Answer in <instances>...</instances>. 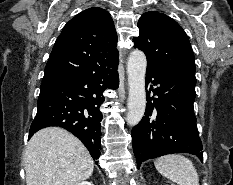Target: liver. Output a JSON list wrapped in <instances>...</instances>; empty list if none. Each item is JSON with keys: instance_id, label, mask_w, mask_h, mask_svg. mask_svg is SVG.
Segmentation results:
<instances>
[{"instance_id": "obj_1", "label": "liver", "mask_w": 233, "mask_h": 185, "mask_svg": "<svg viewBox=\"0 0 233 185\" xmlns=\"http://www.w3.org/2000/svg\"><path fill=\"white\" fill-rule=\"evenodd\" d=\"M27 185H77L93 173L82 142L59 127H47L29 140L23 155Z\"/></svg>"}]
</instances>
